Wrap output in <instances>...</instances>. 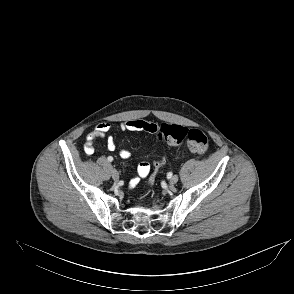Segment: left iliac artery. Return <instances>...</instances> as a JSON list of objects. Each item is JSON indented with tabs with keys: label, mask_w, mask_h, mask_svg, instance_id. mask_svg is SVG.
I'll return each mask as SVG.
<instances>
[{
	"label": "left iliac artery",
	"mask_w": 294,
	"mask_h": 294,
	"mask_svg": "<svg viewBox=\"0 0 294 294\" xmlns=\"http://www.w3.org/2000/svg\"><path fill=\"white\" fill-rule=\"evenodd\" d=\"M172 176H174V171L167 172V179H172Z\"/></svg>",
	"instance_id": "44dca946"
}]
</instances>
